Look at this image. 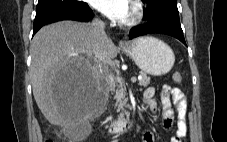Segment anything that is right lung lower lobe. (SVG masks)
Masks as SVG:
<instances>
[{
	"label": "right lung lower lobe",
	"instance_id": "obj_1",
	"mask_svg": "<svg viewBox=\"0 0 227 142\" xmlns=\"http://www.w3.org/2000/svg\"><path fill=\"white\" fill-rule=\"evenodd\" d=\"M93 11L88 4L77 7L55 8L36 12L33 35L44 25L60 20L88 21L93 18Z\"/></svg>",
	"mask_w": 227,
	"mask_h": 142
}]
</instances>
